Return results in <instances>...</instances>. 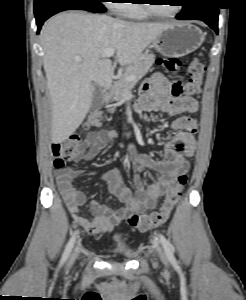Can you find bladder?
<instances>
[{
	"mask_svg": "<svg viewBox=\"0 0 246 300\" xmlns=\"http://www.w3.org/2000/svg\"><path fill=\"white\" fill-rule=\"evenodd\" d=\"M112 246L115 251L119 253H123L126 249V241L125 238L120 235H115L111 240Z\"/></svg>",
	"mask_w": 246,
	"mask_h": 300,
	"instance_id": "obj_1",
	"label": "bladder"
}]
</instances>
